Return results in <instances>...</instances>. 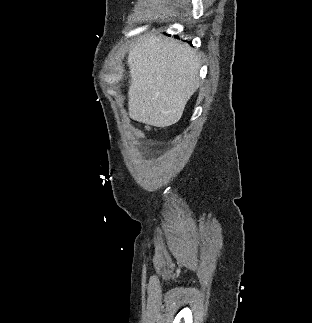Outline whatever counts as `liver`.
I'll list each match as a JSON object with an SVG mask.
<instances>
[{
    "mask_svg": "<svg viewBox=\"0 0 312 323\" xmlns=\"http://www.w3.org/2000/svg\"><path fill=\"white\" fill-rule=\"evenodd\" d=\"M127 62L129 118L156 128L179 122L199 88L201 58L193 48L153 30V34L140 36L129 50Z\"/></svg>",
    "mask_w": 312,
    "mask_h": 323,
    "instance_id": "liver-1",
    "label": "liver"
}]
</instances>
